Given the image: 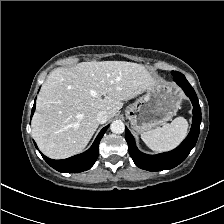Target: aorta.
<instances>
[{
    "instance_id": "aorta-1",
    "label": "aorta",
    "mask_w": 224,
    "mask_h": 224,
    "mask_svg": "<svg viewBox=\"0 0 224 224\" xmlns=\"http://www.w3.org/2000/svg\"><path fill=\"white\" fill-rule=\"evenodd\" d=\"M110 129H111L112 133L122 134L125 130V125H124L123 121L115 120L111 123Z\"/></svg>"
}]
</instances>
